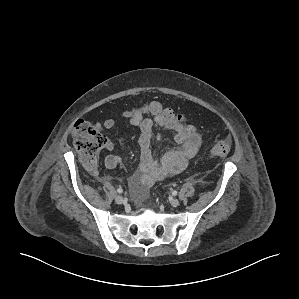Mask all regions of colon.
I'll return each instance as SVG.
<instances>
[{"mask_svg": "<svg viewBox=\"0 0 299 299\" xmlns=\"http://www.w3.org/2000/svg\"><path fill=\"white\" fill-rule=\"evenodd\" d=\"M148 107L154 115L161 117L169 123H184L185 118L174 109L167 107L159 101H151ZM74 144L78 150L81 161L89 170H95L98 165L100 151L106 145V139L102 133L89 122L79 119L73 126ZM230 142L227 139H219L210 149L213 157H225L230 152Z\"/></svg>", "mask_w": 299, "mask_h": 299, "instance_id": "1", "label": "colon"}]
</instances>
